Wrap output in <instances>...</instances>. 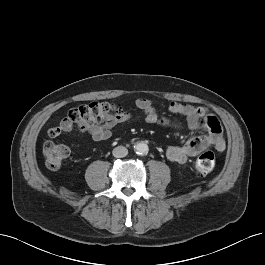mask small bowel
I'll list each match as a JSON object with an SVG mask.
<instances>
[{
    "instance_id": "small-bowel-1",
    "label": "small bowel",
    "mask_w": 265,
    "mask_h": 265,
    "mask_svg": "<svg viewBox=\"0 0 265 265\" xmlns=\"http://www.w3.org/2000/svg\"><path fill=\"white\" fill-rule=\"evenodd\" d=\"M136 106L143 111L145 121L150 124L175 127L177 124L167 118L157 114L152 102L146 98H138ZM169 111L172 114L180 115L185 118L187 127L192 131H201L209 129L210 117L204 107H194L189 104L172 102L169 105ZM133 115L129 112L120 110L119 116L113 120L98 122L89 128V134L92 140L96 142L107 141L111 138V129L118 123H124L131 120ZM209 145H212L217 151H224L226 143L221 132L219 134L211 133L209 138L192 137L183 145L170 146L166 151L169 161L177 164H184L190 157L196 156Z\"/></svg>"
}]
</instances>
